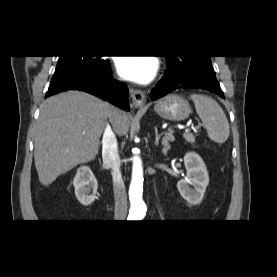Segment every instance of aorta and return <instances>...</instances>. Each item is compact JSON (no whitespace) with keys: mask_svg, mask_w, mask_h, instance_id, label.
Instances as JSON below:
<instances>
[{"mask_svg":"<svg viewBox=\"0 0 277 277\" xmlns=\"http://www.w3.org/2000/svg\"><path fill=\"white\" fill-rule=\"evenodd\" d=\"M143 169L139 156L133 157L132 180L129 188V199L131 203L129 218L141 220L146 214V205L142 199L143 193Z\"/></svg>","mask_w":277,"mask_h":277,"instance_id":"aorta-1","label":"aorta"}]
</instances>
